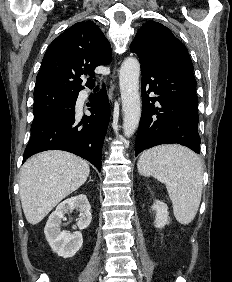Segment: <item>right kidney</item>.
Wrapping results in <instances>:
<instances>
[{"label":"right kidney","mask_w":232,"mask_h":282,"mask_svg":"<svg viewBox=\"0 0 232 282\" xmlns=\"http://www.w3.org/2000/svg\"><path fill=\"white\" fill-rule=\"evenodd\" d=\"M76 209L80 212L77 226L80 230L86 229L92 220L91 206L84 194H80L64 200L54 212L51 213L46 223L44 233L52 250L63 258L73 257L82 247L83 238L81 232L69 233L61 231L62 219L68 211Z\"/></svg>","instance_id":"1"}]
</instances>
